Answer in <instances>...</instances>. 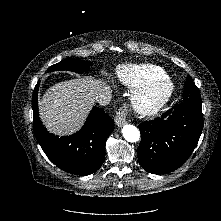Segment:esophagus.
<instances>
[{
  "instance_id": "obj_1",
  "label": "esophagus",
  "mask_w": 221,
  "mask_h": 221,
  "mask_svg": "<svg viewBox=\"0 0 221 221\" xmlns=\"http://www.w3.org/2000/svg\"><path fill=\"white\" fill-rule=\"evenodd\" d=\"M126 116H127V109L125 107L120 108L115 118V122L118 127H121L124 124H126Z\"/></svg>"
}]
</instances>
